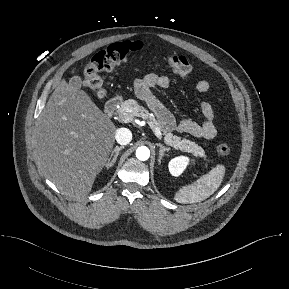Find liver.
Returning a JSON list of instances; mask_svg holds the SVG:
<instances>
[{
	"mask_svg": "<svg viewBox=\"0 0 289 289\" xmlns=\"http://www.w3.org/2000/svg\"><path fill=\"white\" fill-rule=\"evenodd\" d=\"M116 130L86 92L62 80L39 116L36 164L61 193L84 197L108 161Z\"/></svg>",
	"mask_w": 289,
	"mask_h": 289,
	"instance_id": "6515ba94",
	"label": "liver"
}]
</instances>
